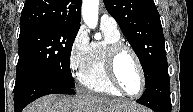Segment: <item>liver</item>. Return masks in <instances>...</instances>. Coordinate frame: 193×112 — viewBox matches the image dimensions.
I'll return each mask as SVG.
<instances>
[{
	"label": "liver",
	"mask_w": 193,
	"mask_h": 112,
	"mask_svg": "<svg viewBox=\"0 0 193 112\" xmlns=\"http://www.w3.org/2000/svg\"><path fill=\"white\" fill-rule=\"evenodd\" d=\"M137 104L92 95H47L31 103L24 112H137Z\"/></svg>",
	"instance_id": "obj_1"
}]
</instances>
